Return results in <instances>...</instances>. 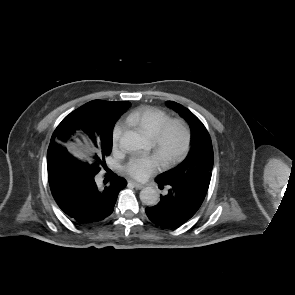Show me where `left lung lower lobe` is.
Returning a JSON list of instances; mask_svg holds the SVG:
<instances>
[{
    "instance_id": "left-lung-lower-lobe-1",
    "label": "left lung lower lobe",
    "mask_w": 295,
    "mask_h": 295,
    "mask_svg": "<svg viewBox=\"0 0 295 295\" xmlns=\"http://www.w3.org/2000/svg\"><path fill=\"white\" fill-rule=\"evenodd\" d=\"M159 188L168 187V194L161 196L160 202L147 207L145 212L155 224L164 227H177L188 221L204 201L206 187L192 188L177 182L163 183L156 179Z\"/></svg>"
}]
</instances>
